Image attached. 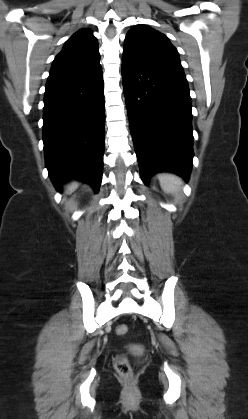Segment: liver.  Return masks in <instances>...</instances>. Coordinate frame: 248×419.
I'll return each instance as SVG.
<instances>
[{"mask_svg": "<svg viewBox=\"0 0 248 419\" xmlns=\"http://www.w3.org/2000/svg\"><path fill=\"white\" fill-rule=\"evenodd\" d=\"M77 185H78L77 183H72L71 186H70V189L75 188Z\"/></svg>", "mask_w": 248, "mask_h": 419, "instance_id": "6515ba94", "label": "liver"}]
</instances>
